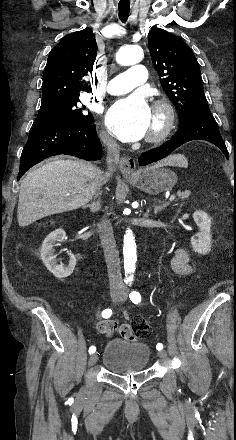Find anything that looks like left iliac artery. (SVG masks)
Instances as JSON below:
<instances>
[{
	"label": "left iliac artery",
	"mask_w": 236,
	"mask_h": 440,
	"mask_svg": "<svg viewBox=\"0 0 236 440\" xmlns=\"http://www.w3.org/2000/svg\"><path fill=\"white\" fill-rule=\"evenodd\" d=\"M129 297H130V300H131L134 304H138V303L141 302V295H140V293L137 292V291H132V292L129 294ZM156 349H157V350H162V349H163V345H162L161 343H158V344L156 345Z\"/></svg>",
	"instance_id": "1"
}]
</instances>
